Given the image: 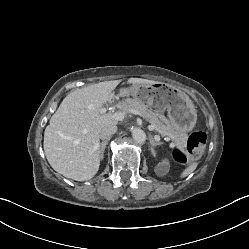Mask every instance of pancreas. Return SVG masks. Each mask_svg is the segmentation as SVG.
Listing matches in <instances>:
<instances>
[{"label":"pancreas","instance_id":"pancreas-1","mask_svg":"<svg viewBox=\"0 0 249 249\" xmlns=\"http://www.w3.org/2000/svg\"><path fill=\"white\" fill-rule=\"evenodd\" d=\"M123 108L130 112L131 109L139 111L149 122L153 123L163 136H167L173 141V145L180 150H184L187 144V134L179 127L172 124L164 115L154 112L145 104L140 103L135 99H125L122 102Z\"/></svg>","mask_w":249,"mask_h":249}]
</instances>
